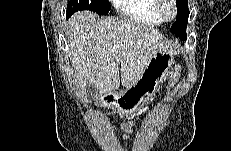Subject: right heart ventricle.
Returning <instances> with one entry per match:
<instances>
[{
    "instance_id": "obj_1",
    "label": "right heart ventricle",
    "mask_w": 231,
    "mask_h": 151,
    "mask_svg": "<svg viewBox=\"0 0 231 151\" xmlns=\"http://www.w3.org/2000/svg\"><path fill=\"white\" fill-rule=\"evenodd\" d=\"M120 12L132 24L159 26L163 20L155 10V0H123L118 2Z\"/></svg>"
}]
</instances>
